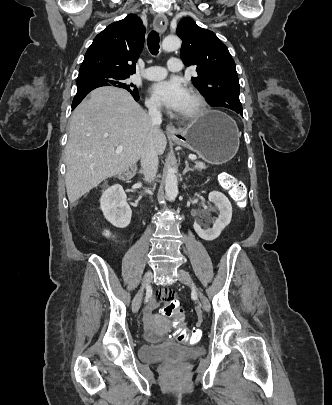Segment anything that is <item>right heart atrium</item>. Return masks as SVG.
I'll list each match as a JSON object with an SVG mask.
<instances>
[{
    "label": "right heart atrium",
    "instance_id": "obj_1",
    "mask_svg": "<svg viewBox=\"0 0 332 405\" xmlns=\"http://www.w3.org/2000/svg\"><path fill=\"white\" fill-rule=\"evenodd\" d=\"M146 105L152 111L160 109V104L154 98H147Z\"/></svg>",
    "mask_w": 332,
    "mask_h": 405
}]
</instances>
